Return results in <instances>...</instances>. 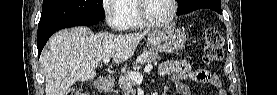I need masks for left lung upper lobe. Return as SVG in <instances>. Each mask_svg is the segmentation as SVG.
Here are the masks:
<instances>
[{"mask_svg": "<svg viewBox=\"0 0 277 95\" xmlns=\"http://www.w3.org/2000/svg\"><path fill=\"white\" fill-rule=\"evenodd\" d=\"M177 14H187L201 8H208L222 14L220 0H177Z\"/></svg>", "mask_w": 277, "mask_h": 95, "instance_id": "left-lung-upper-lobe-1", "label": "left lung upper lobe"}]
</instances>
